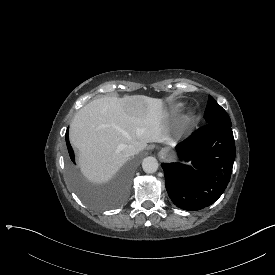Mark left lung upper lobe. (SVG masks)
<instances>
[{"label": "left lung upper lobe", "instance_id": "left-lung-upper-lobe-1", "mask_svg": "<svg viewBox=\"0 0 275 275\" xmlns=\"http://www.w3.org/2000/svg\"><path fill=\"white\" fill-rule=\"evenodd\" d=\"M204 119L207 123L222 122L231 125L230 117L226 111L211 96L208 98Z\"/></svg>", "mask_w": 275, "mask_h": 275}]
</instances>
